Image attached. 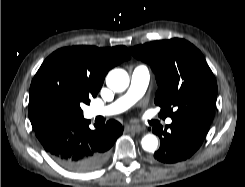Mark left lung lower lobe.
<instances>
[{
    "instance_id": "left-lung-lower-lobe-1",
    "label": "left lung lower lobe",
    "mask_w": 245,
    "mask_h": 187,
    "mask_svg": "<svg viewBox=\"0 0 245 187\" xmlns=\"http://www.w3.org/2000/svg\"><path fill=\"white\" fill-rule=\"evenodd\" d=\"M210 127L207 120H172L164 129H152L160 138L161 145L154 158L172 164L191 157L201 146Z\"/></svg>"
}]
</instances>
